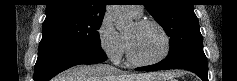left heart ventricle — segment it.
<instances>
[{
    "label": "left heart ventricle",
    "instance_id": "1",
    "mask_svg": "<svg viewBox=\"0 0 237 81\" xmlns=\"http://www.w3.org/2000/svg\"><path fill=\"white\" fill-rule=\"evenodd\" d=\"M133 50L142 60L159 57L165 49V41L160 31L152 26L138 27L135 23L127 31Z\"/></svg>",
    "mask_w": 237,
    "mask_h": 81
}]
</instances>
